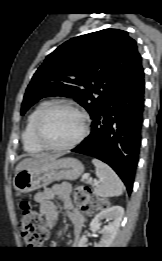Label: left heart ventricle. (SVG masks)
Returning <instances> with one entry per match:
<instances>
[{"label":"left heart ventricle","mask_w":162,"mask_h":261,"mask_svg":"<svg viewBox=\"0 0 162 261\" xmlns=\"http://www.w3.org/2000/svg\"><path fill=\"white\" fill-rule=\"evenodd\" d=\"M81 128L82 120L78 114L68 109H57L47 116L43 135L50 144L64 145L73 141Z\"/></svg>","instance_id":"1"}]
</instances>
